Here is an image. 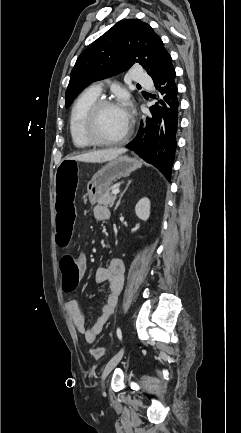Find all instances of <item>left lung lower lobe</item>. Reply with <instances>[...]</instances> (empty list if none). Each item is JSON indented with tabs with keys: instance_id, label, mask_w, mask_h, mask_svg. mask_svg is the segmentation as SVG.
Returning a JSON list of instances; mask_svg holds the SVG:
<instances>
[{
	"instance_id": "obj_1",
	"label": "left lung lower lobe",
	"mask_w": 241,
	"mask_h": 433,
	"mask_svg": "<svg viewBox=\"0 0 241 433\" xmlns=\"http://www.w3.org/2000/svg\"><path fill=\"white\" fill-rule=\"evenodd\" d=\"M172 64L159 79L153 80L157 102L150 110L147 127L141 124L137 136L126 147L134 150L146 162L157 167L169 180L174 162L178 130L179 101Z\"/></svg>"
}]
</instances>
